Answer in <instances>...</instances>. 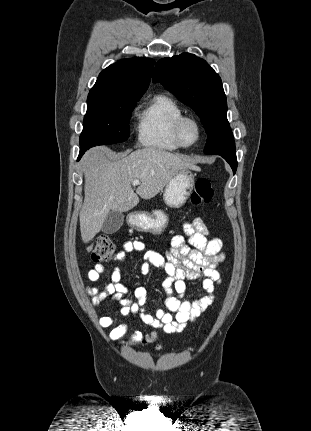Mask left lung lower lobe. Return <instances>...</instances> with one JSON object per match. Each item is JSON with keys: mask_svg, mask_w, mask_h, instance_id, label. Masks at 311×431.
Masks as SVG:
<instances>
[{"mask_svg": "<svg viewBox=\"0 0 311 431\" xmlns=\"http://www.w3.org/2000/svg\"><path fill=\"white\" fill-rule=\"evenodd\" d=\"M221 157H223L231 166L233 169V173L235 174L237 169V158L236 153H228V154H219Z\"/></svg>", "mask_w": 311, "mask_h": 431, "instance_id": "1", "label": "left lung lower lobe"}]
</instances>
